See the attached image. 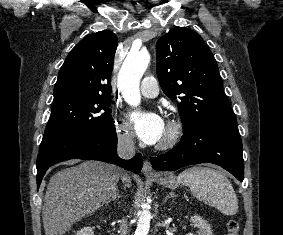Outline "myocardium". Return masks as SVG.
Returning a JSON list of instances; mask_svg holds the SVG:
<instances>
[{
    "label": "myocardium",
    "instance_id": "1",
    "mask_svg": "<svg viewBox=\"0 0 283 235\" xmlns=\"http://www.w3.org/2000/svg\"><path fill=\"white\" fill-rule=\"evenodd\" d=\"M183 134V126L177 120H171L167 124L166 137L157 144L158 150H167L172 148L181 138Z\"/></svg>",
    "mask_w": 283,
    "mask_h": 235
}]
</instances>
